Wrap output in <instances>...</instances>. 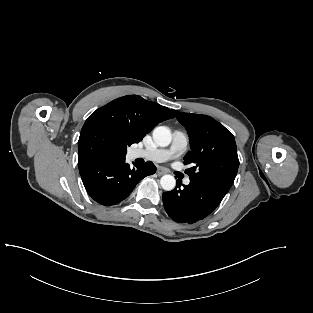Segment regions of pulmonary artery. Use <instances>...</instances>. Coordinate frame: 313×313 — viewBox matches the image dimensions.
I'll return each mask as SVG.
<instances>
[{
	"instance_id": "e3ab8cb5",
	"label": "pulmonary artery",
	"mask_w": 313,
	"mask_h": 313,
	"mask_svg": "<svg viewBox=\"0 0 313 313\" xmlns=\"http://www.w3.org/2000/svg\"><path fill=\"white\" fill-rule=\"evenodd\" d=\"M188 136L183 131L176 130L172 135V142L168 148L156 149H135L132 156L135 158H145L155 162H165L178 155H181L188 147ZM190 179L184 180V184L188 185Z\"/></svg>"
}]
</instances>
